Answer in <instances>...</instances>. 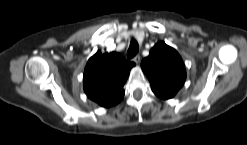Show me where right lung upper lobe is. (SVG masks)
I'll use <instances>...</instances> for the list:
<instances>
[{
    "label": "right lung upper lobe",
    "mask_w": 247,
    "mask_h": 145,
    "mask_svg": "<svg viewBox=\"0 0 247 145\" xmlns=\"http://www.w3.org/2000/svg\"><path fill=\"white\" fill-rule=\"evenodd\" d=\"M135 63L116 52L98 51L87 62L84 70V91L102 107L118 104L124 96L123 86Z\"/></svg>",
    "instance_id": "cb5924a9"
}]
</instances>
